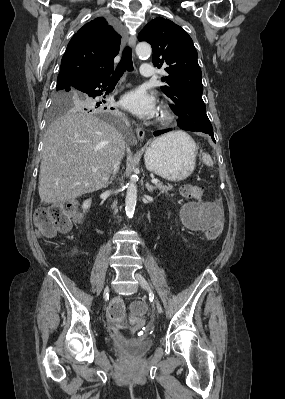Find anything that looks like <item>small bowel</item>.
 I'll list each match as a JSON object with an SVG mask.
<instances>
[{
  "label": "small bowel",
  "mask_w": 285,
  "mask_h": 399,
  "mask_svg": "<svg viewBox=\"0 0 285 399\" xmlns=\"http://www.w3.org/2000/svg\"><path fill=\"white\" fill-rule=\"evenodd\" d=\"M217 201H207L201 206L191 205L184 211L182 218L190 232L200 233L210 230L218 222V214L213 209ZM125 305L122 299L115 298L107 309V319L116 328H123ZM134 323H138L133 318Z\"/></svg>",
  "instance_id": "1"
}]
</instances>
